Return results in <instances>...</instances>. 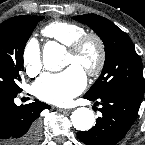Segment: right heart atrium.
Listing matches in <instances>:
<instances>
[{"label":"right heart atrium","mask_w":145,"mask_h":145,"mask_svg":"<svg viewBox=\"0 0 145 145\" xmlns=\"http://www.w3.org/2000/svg\"><path fill=\"white\" fill-rule=\"evenodd\" d=\"M22 60L28 75L35 76L41 71V50L35 38H31L26 43L22 53Z\"/></svg>","instance_id":"obj_1"}]
</instances>
